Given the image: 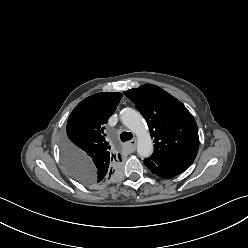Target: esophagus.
I'll return each mask as SVG.
<instances>
[{
    "label": "esophagus",
    "mask_w": 248,
    "mask_h": 248,
    "mask_svg": "<svg viewBox=\"0 0 248 248\" xmlns=\"http://www.w3.org/2000/svg\"><path fill=\"white\" fill-rule=\"evenodd\" d=\"M137 140L133 139L127 143V148L130 152H134L136 149Z\"/></svg>",
    "instance_id": "obj_1"
}]
</instances>
